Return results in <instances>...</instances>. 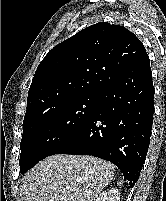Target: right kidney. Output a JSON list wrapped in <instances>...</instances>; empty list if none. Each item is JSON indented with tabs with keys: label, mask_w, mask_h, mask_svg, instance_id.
Masks as SVG:
<instances>
[{
	"label": "right kidney",
	"mask_w": 166,
	"mask_h": 201,
	"mask_svg": "<svg viewBox=\"0 0 166 201\" xmlns=\"http://www.w3.org/2000/svg\"><path fill=\"white\" fill-rule=\"evenodd\" d=\"M95 201H120L119 191L112 187L102 192Z\"/></svg>",
	"instance_id": "obj_1"
}]
</instances>
